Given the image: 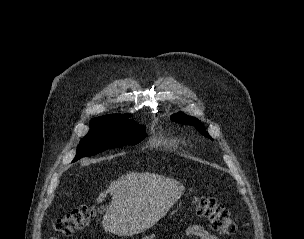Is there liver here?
<instances>
[{"label": "liver", "mask_w": 304, "mask_h": 239, "mask_svg": "<svg viewBox=\"0 0 304 239\" xmlns=\"http://www.w3.org/2000/svg\"><path fill=\"white\" fill-rule=\"evenodd\" d=\"M185 187L175 179L149 172H129L112 181L101 192L97 203L107 193L112 200L103 216L105 230L118 236H132L154 226L179 200Z\"/></svg>", "instance_id": "liver-1"}]
</instances>
